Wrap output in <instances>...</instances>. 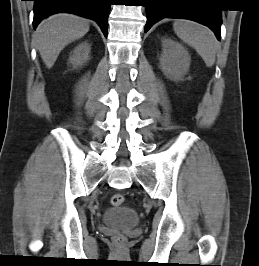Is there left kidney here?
I'll use <instances>...</instances> for the list:
<instances>
[{
  "mask_svg": "<svg viewBox=\"0 0 259 266\" xmlns=\"http://www.w3.org/2000/svg\"><path fill=\"white\" fill-rule=\"evenodd\" d=\"M162 54L160 67L165 75L173 79H180L189 69L190 56L187 50L171 38L162 40Z\"/></svg>",
  "mask_w": 259,
  "mask_h": 266,
  "instance_id": "left-kidney-1",
  "label": "left kidney"
}]
</instances>
